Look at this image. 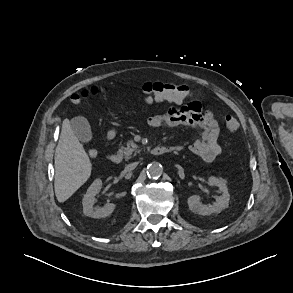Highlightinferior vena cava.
<instances>
[{"label": "inferior vena cava", "mask_w": 293, "mask_h": 293, "mask_svg": "<svg viewBox=\"0 0 293 293\" xmlns=\"http://www.w3.org/2000/svg\"><path fill=\"white\" fill-rule=\"evenodd\" d=\"M137 164H138L137 162H134V163L128 164V165L125 167V170H126V171H132V170H134V169L136 168Z\"/></svg>", "instance_id": "1"}]
</instances>
